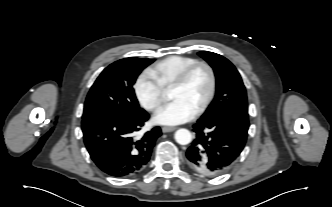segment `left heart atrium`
I'll return each mask as SVG.
<instances>
[{"instance_id": "left-heart-atrium-1", "label": "left heart atrium", "mask_w": 332, "mask_h": 207, "mask_svg": "<svg viewBox=\"0 0 332 207\" xmlns=\"http://www.w3.org/2000/svg\"><path fill=\"white\" fill-rule=\"evenodd\" d=\"M195 115V110L179 99H175L159 109L153 121L160 125H178L191 120Z\"/></svg>"}]
</instances>
